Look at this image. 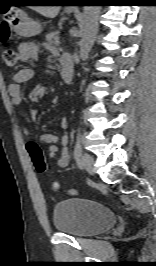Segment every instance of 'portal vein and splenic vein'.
Listing matches in <instances>:
<instances>
[{
	"instance_id": "obj_1",
	"label": "portal vein and splenic vein",
	"mask_w": 156,
	"mask_h": 266,
	"mask_svg": "<svg viewBox=\"0 0 156 266\" xmlns=\"http://www.w3.org/2000/svg\"><path fill=\"white\" fill-rule=\"evenodd\" d=\"M59 44H60V42H59V41H57V42H56V45L58 46Z\"/></svg>"
}]
</instances>
